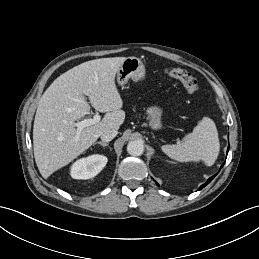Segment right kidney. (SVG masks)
I'll list each match as a JSON object with an SVG mask.
<instances>
[{"label": "right kidney", "mask_w": 259, "mask_h": 259, "mask_svg": "<svg viewBox=\"0 0 259 259\" xmlns=\"http://www.w3.org/2000/svg\"><path fill=\"white\" fill-rule=\"evenodd\" d=\"M107 157L94 154L77 160L71 167V177L74 179H90L95 177L107 164Z\"/></svg>", "instance_id": "ca27d5eb"}]
</instances>
